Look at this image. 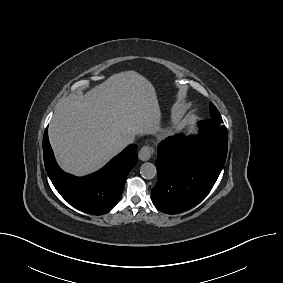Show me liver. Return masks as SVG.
Masks as SVG:
<instances>
[{"label": "liver", "instance_id": "liver-1", "mask_svg": "<svg viewBox=\"0 0 283 283\" xmlns=\"http://www.w3.org/2000/svg\"><path fill=\"white\" fill-rule=\"evenodd\" d=\"M160 119L153 85L125 71L60 105L49 126V140L61 168L83 176L122 150L123 135L154 134L160 130Z\"/></svg>", "mask_w": 283, "mask_h": 283}]
</instances>
